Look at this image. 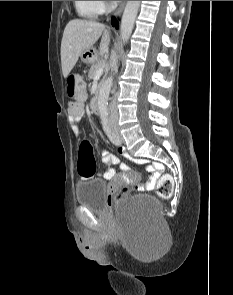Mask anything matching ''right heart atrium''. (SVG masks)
<instances>
[{"mask_svg":"<svg viewBox=\"0 0 233 295\" xmlns=\"http://www.w3.org/2000/svg\"><path fill=\"white\" fill-rule=\"evenodd\" d=\"M99 3H100L101 8L105 9L108 4V1H99Z\"/></svg>","mask_w":233,"mask_h":295,"instance_id":"d8ad5b80","label":"right heart atrium"}]
</instances>
